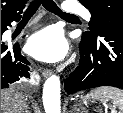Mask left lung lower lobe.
Returning <instances> with one entry per match:
<instances>
[{"mask_svg": "<svg viewBox=\"0 0 123 113\" xmlns=\"http://www.w3.org/2000/svg\"><path fill=\"white\" fill-rule=\"evenodd\" d=\"M79 66L65 80V91L113 86L123 89V22L101 19L96 37L80 42Z\"/></svg>", "mask_w": 123, "mask_h": 113, "instance_id": "0a47b994", "label": "left lung lower lobe"}]
</instances>
